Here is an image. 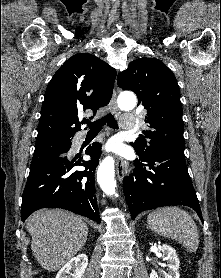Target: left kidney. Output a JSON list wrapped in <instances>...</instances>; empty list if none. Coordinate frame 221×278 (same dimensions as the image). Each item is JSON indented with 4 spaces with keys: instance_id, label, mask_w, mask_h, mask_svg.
Wrapping results in <instances>:
<instances>
[{
    "instance_id": "left-kidney-1",
    "label": "left kidney",
    "mask_w": 221,
    "mask_h": 278,
    "mask_svg": "<svg viewBox=\"0 0 221 278\" xmlns=\"http://www.w3.org/2000/svg\"><path fill=\"white\" fill-rule=\"evenodd\" d=\"M164 259L166 260L165 266L169 268L168 273H165V278H179L180 261L176 250L168 245H162L161 247ZM150 278H160L155 271L150 273Z\"/></svg>"
}]
</instances>
